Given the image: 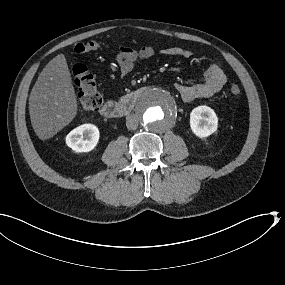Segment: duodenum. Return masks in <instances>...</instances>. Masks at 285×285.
Returning <instances> with one entry per match:
<instances>
[{
  "mask_svg": "<svg viewBox=\"0 0 285 285\" xmlns=\"http://www.w3.org/2000/svg\"><path fill=\"white\" fill-rule=\"evenodd\" d=\"M143 91L144 88H139L126 94L120 100L105 102L100 109L101 115L107 119H118L129 115L143 94Z\"/></svg>",
  "mask_w": 285,
  "mask_h": 285,
  "instance_id": "410a0bca",
  "label": "duodenum"
}]
</instances>
